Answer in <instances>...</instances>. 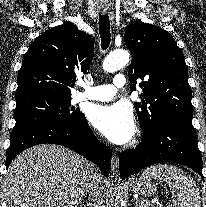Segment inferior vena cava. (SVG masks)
<instances>
[{
    "mask_svg": "<svg viewBox=\"0 0 206 207\" xmlns=\"http://www.w3.org/2000/svg\"><path fill=\"white\" fill-rule=\"evenodd\" d=\"M99 177L100 174L98 172V169H96L93 165H91V180L87 190L90 197L88 198V200L90 199L89 207H101L100 206L101 192L98 184Z\"/></svg>",
    "mask_w": 206,
    "mask_h": 207,
    "instance_id": "obj_1",
    "label": "inferior vena cava"
}]
</instances>
